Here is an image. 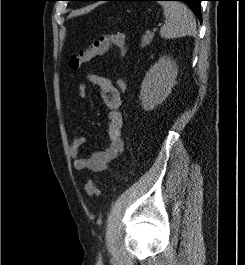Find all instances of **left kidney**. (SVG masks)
<instances>
[{
	"label": "left kidney",
	"instance_id": "obj_1",
	"mask_svg": "<svg viewBox=\"0 0 245 265\" xmlns=\"http://www.w3.org/2000/svg\"><path fill=\"white\" fill-rule=\"evenodd\" d=\"M176 61L161 57L146 73L141 85L140 100L145 111L153 110L171 93L177 77Z\"/></svg>",
	"mask_w": 245,
	"mask_h": 265
}]
</instances>
